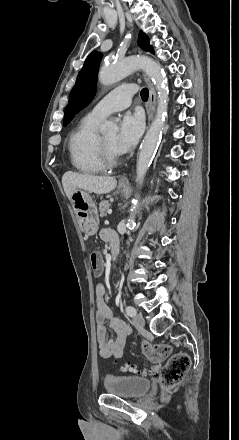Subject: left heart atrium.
I'll use <instances>...</instances> for the list:
<instances>
[{
  "instance_id": "left-heart-atrium-1",
  "label": "left heart atrium",
  "mask_w": 239,
  "mask_h": 440,
  "mask_svg": "<svg viewBox=\"0 0 239 440\" xmlns=\"http://www.w3.org/2000/svg\"><path fill=\"white\" fill-rule=\"evenodd\" d=\"M144 129V120L139 113H125L120 119L118 133L113 145L116 153H125L139 140Z\"/></svg>"
}]
</instances>
